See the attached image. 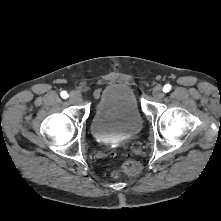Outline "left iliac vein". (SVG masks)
<instances>
[{
  "mask_svg": "<svg viewBox=\"0 0 221 221\" xmlns=\"http://www.w3.org/2000/svg\"><path fill=\"white\" fill-rule=\"evenodd\" d=\"M152 94L156 99H162L164 97L163 90L160 86L155 87Z\"/></svg>",
  "mask_w": 221,
  "mask_h": 221,
  "instance_id": "left-iliac-vein-1",
  "label": "left iliac vein"
}]
</instances>
